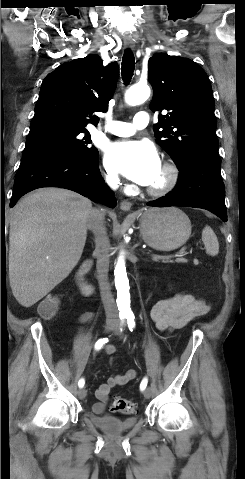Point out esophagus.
I'll use <instances>...</instances> for the list:
<instances>
[{
	"label": "esophagus",
	"instance_id": "obj_1",
	"mask_svg": "<svg viewBox=\"0 0 245 479\" xmlns=\"http://www.w3.org/2000/svg\"><path fill=\"white\" fill-rule=\"evenodd\" d=\"M124 45H125L126 47H128V48H133V46H134L133 42H132L131 40H129V39L124 40ZM131 206H132V204H131V202L128 201V200H124V201H122V202L120 203V208H121L123 211H126V212L130 211Z\"/></svg>",
	"mask_w": 245,
	"mask_h": 479
}]
</instances>
